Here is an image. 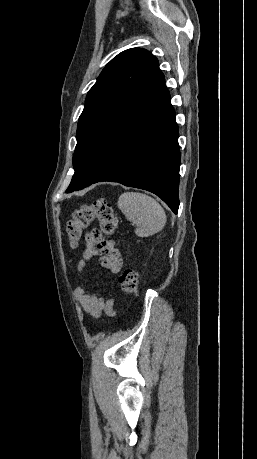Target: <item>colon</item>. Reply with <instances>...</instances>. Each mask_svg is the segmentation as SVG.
Returning a JSON list of instances; mask_svg holds the SVG:
<instances>
[{"label":"colon","mask_w":257,"mask_h":459,"mask_svg":"<svg viewBox=\"0 0 257 459\" xmlns=\"http://www.w3.org/2000/svg\"><path fill=\"white\" fill-rule=\"evenodd\" d=\"M95 220L99 221L104 235L109 236L115 233L118 221L107 199L99 198L92 204L82 206L74 211L72 219L66 225L68 240L72 247L77 246L82 232ZM119 284L124 292L137 293L139 290L138 273L132 268L124 270L119 276Z\"/></svg>","instance_id":"obj_1"}]
</instances>
